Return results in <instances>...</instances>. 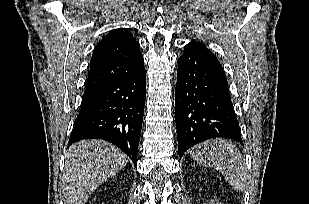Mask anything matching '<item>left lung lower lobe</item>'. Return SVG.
Returning <instances> with one entry per match:
<instances>
[{
	"label": "left lung lower lobe",
	"instance_id": "obj_1",
	"mask_svg": "<svg viewBox=\"0 0 309 204\" xmlns=\"http://www.w3.org/2000/svg\"><path fill=\"white\" fill-rule=\"evenodd\" d=\"M177 74L175 115L179 156L210 138H229L243 145L220 63L186 45L178 59Z\"/></svg>",
	"mask_w": 309,
	"mask_h": 204
}]
</instances>
